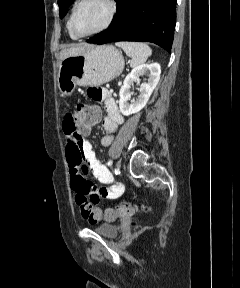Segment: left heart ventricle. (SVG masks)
Masks as SVG:
<instances>
[{
	"label": "left heart ventricle",
	"mask_w": 240,
	"mask_h": 288,
	"mask_svg": "<svg viewBox=\"0 0 240 288\" xmlns=\"http://www.w3.org/2000/svg\"><path fill=\"white\" fill-rule=\"evenodd\" d=\"M108 15V6L104 0H87L74 18V29L79 34L89 33L99 28Z\"/></svg>",
	"instance_id": "b2bd125f"
}]
</instances>
